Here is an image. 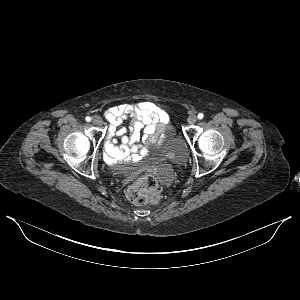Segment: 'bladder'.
<instances>
[{
  "label": "bladder",
  "mask_w": 300,
  "mask_h": 300,
  "mask_svg": "<svg viewBox=\"0 0 300 300\" xmlns=\"http://www.w3.org/2000/svg\"><path fill=\"white\" fill-rule=\"evenodd\" d=\"M172 139V135H171V133L166 137V139L162 142V144L163 143H165V142H169L170 140ZM170 152H172V147H171V145H170V143H168V145L166 146V148H165V154H164V159L166 160V159H168V154L170 153ZM135 167V165H131V166H127V167H121V166H119V165H112L111 166V168L112 169H114V170H117V171H119V170H122V171H129L130 169H132V168H134Z\"/></svg>",
  "instance_id": "1"
}]
</instances>
